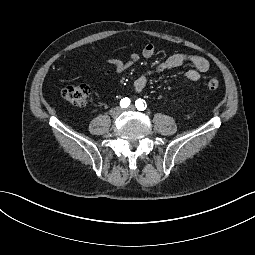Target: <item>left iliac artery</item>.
Here are the masks:
<instances>
[{"label":"left iliac artery","mask_w":255,"mask_h":255,"mask_svg":"<svg viewBox=\"0 0 255 255\" xmlns=\"http://www.w3.org/2000/svg\"><path fill=\"white\" fill-rule=\"evenodd\" d=\"M135 106L139 111H144L147 107L146 102L143 99H137L135 101Z\"/></svg>","instance_id":"44dca946"}]
</instances>
